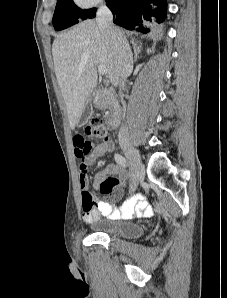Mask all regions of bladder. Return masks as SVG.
Returning <instances> with one entry per match:
<instances>
[{"instance_id": "bladder-1", "label": "bladder", "mask_w": 227, "mask_h": 298, "mask_svg": "<svg viewBox=\"0 0 227 298\" xmlns=\"http://www.w3.org/2000/svg\"><path fill=\"white\" fill-rule=\"evenodd\" d=\"M95 233L106 234L122 239H135L143 235L139 224L124 220L97 219L90 224Z\"/></svg>"}]
</instances>
